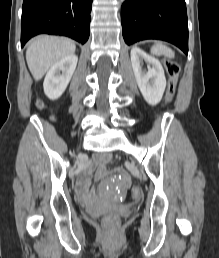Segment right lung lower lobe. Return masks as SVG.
<instances>
[{
    "mask_svg": "<svg viewBox=\"0 0 219 258\" xmlns=\"http://www.w3.org/2000/svg\"><path fill=\"white\" fill-rule=\"evenodd\" d=\"M93 0H24L21 46L40 33L68 36L82 44L89 38Z\"/></svg>",
    "mask_w": 219,
    "mask_h": 258,
    "instance_id": "1",
    "label": "right lung lower lobe"
}]
</instances>
